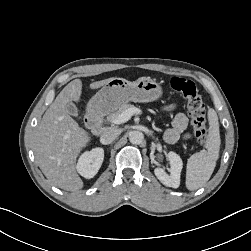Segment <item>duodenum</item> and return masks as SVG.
Listing matches in <instances>:
<instances>
[{"mask_svg":"<svg viewBox=\"0 0 251 251\" xmlns=\"http://www.w3.org/2000/svg\"><path fill=\"white\" fill-rule=\"evenodd\" d=\"M88 127L97 135L103 131V117L100 112H92L87 117Z\"/></svg>","mask_w":251,"mask_h":251,"instance_id":"duodenum-1","label":"duodenum"}]
</instances>
